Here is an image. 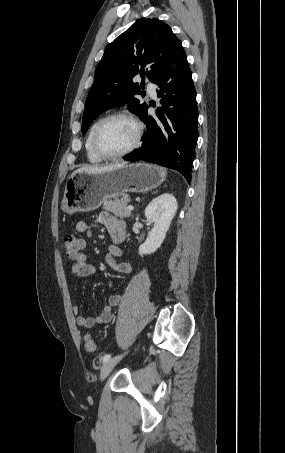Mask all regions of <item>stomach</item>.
<instances>
[{
    "instance_id": "1",
    "label": "stomach",
    "mask_w": 285,
    "mask_h": 453,
    "mask_svg": "<svg viewBox=\"0 0 285 453\" xmlns=\"http://www.w3.org/2000/svg\"><path fill=\"white\" fill-rule=\"evenodd\" d=\"M166 178L162 167L133 163L100 173H77L66 183L62 209L66 214L89 212L108 199L127 192L144 193L158 187Z\"/></svg>"
}]
</instances>
